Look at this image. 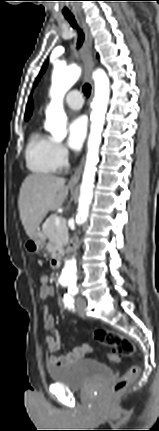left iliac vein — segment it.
I'll return each mask as SVG.
<instances>
[{
	"label": "left iliac vein",
	"instance_id": "obj_1",
	"mask_svg": "<svg viewBox=\"0 0 159 431\" xmlns=\"http://www.w3.org/2000/svg\"><path fill=\"white\" fill-rule=\"evenodd\" d=\"M77 311L81 316L85 315L86 301L83 297H79L76 301Z\"/></svg>",
	"mask_w": 159,
	"mask_h": 431
}]
</instances>
